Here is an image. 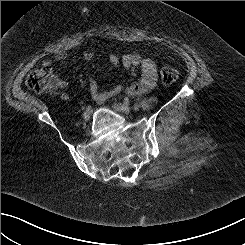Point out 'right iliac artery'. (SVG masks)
<instances>
[{"mask_svg":"<svg viewBox=\"0 0 245 245\" xmlns=\"http://www.w3.org/2000/svg\"><path fill=\"white\" fill-rule=\"evenodd\" d=\"M91 108H92V106H91V105H88L85 109H86L87 111H89Z\"/></svg>","mask_w":245,"mask_h":245,"instance_id":"right-iliac-artery-1","label":"right iliac artery"}]
</instances>
